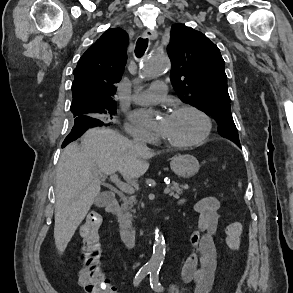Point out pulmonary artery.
<instances>
[{"instance_id": "e3ab8cb5", "label": "pulmonary artery", "mask_w": 293, "mask_h": 293, "mask_svg": "<svg viewBox=\"0 0 293 293\" xmlns=\"http://www.w3.org/2000/svg\"><path fill=\"white\" fill-rule=\"evenodd\" d=\"M165 96V82L156 81L151 84L150 89L135 92L132 96V100L138 104H153L163 99Z\"/></svg>"}]
</instances>
